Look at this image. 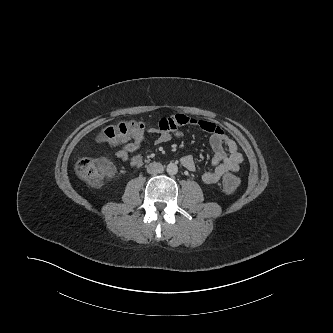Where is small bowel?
<instances>
[{"label": "small bowel", "instance_id": "small-bowel-1", "mask_svg": "<svg viewBox=\"0 0 333 333\" xmlns=\"http://www.w3.org/2000/svg\"><path fill=\"white\" fill-rule=\"evenodd\" d=\"M182 125H195L210 134L209 143L213 151L212 164L214 168L202 174V181L205 184H215L226 173L239 170L243 157L237 144L228 138L218 125L210 121L195 120L183 114L163 117L158 122V128L149 130V133L154 136L152 144L161 145L169 142L174 137H180L182 135L180 127ZM145 140L144 133L134 137L118 148L116 156L133 167L141 166L143 156L136 152ZM181 163L190 171L195 169V161L191 155L182 156Z\"/></svg>", "mask_w": 333, "mask_h": 333}]
</instances>
